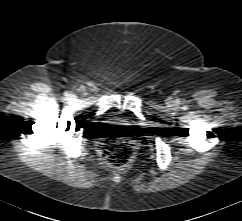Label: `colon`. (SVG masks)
<instances>
[{"mask_svg":"<svg viewBox=\"0 0 242 221\" xmlns=\"http://www.w3.org/2000/svg\"><path fill=\"white\" fill-rule=\"evenodd\" d=\"M106 161L115 167L127 164L133 155V146L128 141L109 140L103 146Z\"/></svg>","mask_w":242,"mask_h":221,"instance_id":"5ec220e1","label":"colon"}]
</instances>
